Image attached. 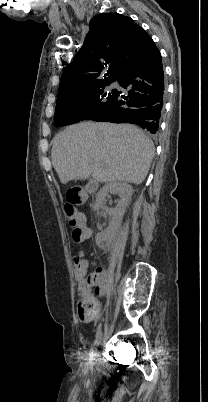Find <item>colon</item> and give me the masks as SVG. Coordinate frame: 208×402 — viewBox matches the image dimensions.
Masks as SVG:
<instances>
[{
  "label": "colon",
  "mask_w": 208,
  "mask_h": 402,
  "mask_svg": "<svg viewBox=\"0 0 208 402\" xmlns=\"http://www.w3.org/2000/svg\"><path fill=\"white\" fill-rule=\"evenodd\" d=\"M65 215L69 226L71 227L70 237L74 242H79L82 238L89 236V231L84 228L82 215L76 210L72 204L65 205ZM84 249L80 250V253H73L71 258L75 263H82L84 261L83 254ZM97 280L95 277H86L84 282L79 283V289L77 293V300L80 305L79 312L82 314L83 319L90 316L101 314V299H94L96 294Z\"/></svg>",
  "instance_id": "obj_1"
}]
</instances>
